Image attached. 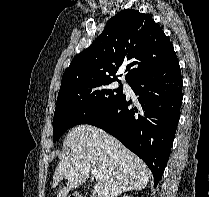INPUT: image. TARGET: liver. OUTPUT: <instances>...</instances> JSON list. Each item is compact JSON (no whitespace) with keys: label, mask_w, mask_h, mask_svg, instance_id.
Listing matches in <instances>:
<instances>
[{"label":"liver","mask_w":209,"mask_h":197,"mask_svg":"<svg viewBox=\"0 0 209 197\" xmlns=\"http://www.w3.org/2000/svg\"><path fill=\"white\" fill-rule=\"evenodd\" d=\"M64 145L71 153L56 167L53 188L63 179L67 183L57 197H66L72 188L83 184L93 168L103 175L94 187L98 197H117L127 191L141 190L149 182L150 171L146 164L119 140L97 127L72 128Z\"/></svg>","instance_id":"obj_1"}]
</instances>
